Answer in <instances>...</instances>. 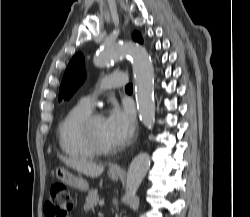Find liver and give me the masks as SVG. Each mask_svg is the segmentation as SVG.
<instances>
[{
	"label": "liver",
	"instance_id": "obj_1",
	"mask_svg": "<svg viewBox=\"0 0 250 217\" xmlns=\"http://www.w3.org/2000/svg\"><path fill=\"white\" fill-rule=\"evenodd\" d=\"M59 159L70 168L92 178L100 176L104 171V166L97 165L84 159L66 158L59 156Z\"/></svg>",
	"mask_w": 250,
	"mask_h": 217
}]
</instances>
